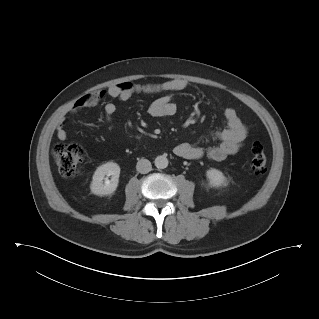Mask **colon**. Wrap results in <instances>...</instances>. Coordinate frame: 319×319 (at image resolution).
Segmentation results:
<instances>
[{
    "label": "colon",
    "instance_id": "5ec220e1",
    "mask_svg": "<svg viewBox=\"0 0 319 319\" xmlns=\"http://www.w3.org/2000/svg\"><path fill=\"white\" fill-rule=\"evenodd\" d=\"M53 157L59 173L63 177L71 178L78 175L84 153L79 145L61 143L53 148ZM266 164L267 157L263 147L260 144H253L250 169L257 174H262L266 170Z\"/></svg>",
    "mask_w": 319,
    "mask_h": 319
}]
</instances>
